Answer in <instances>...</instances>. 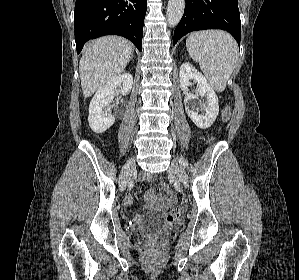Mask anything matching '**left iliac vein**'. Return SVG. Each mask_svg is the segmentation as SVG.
Returning a JSON list of instances; mask_svg holds the SVG:
<instances>
[{"instance_id": "4c4485c4", "label": "left iliac vein", "mask_w": 299, "mask_h": 280, "mask_svg": "<svg viewBox=\"0 0 299 280\" xmlns=\"http://www.w3.org/2000/svg\"><path fill=\"white\" fill-rule=\"evenodd\" d=\"M168 173L171 175H175L179 178V180L187 186L188 184V176L186 172L176 163L172 162L170 165V168L168 170Z\"/></svg>"}]
</instances>
